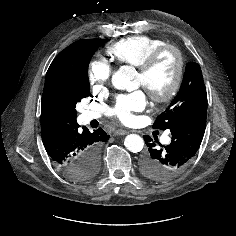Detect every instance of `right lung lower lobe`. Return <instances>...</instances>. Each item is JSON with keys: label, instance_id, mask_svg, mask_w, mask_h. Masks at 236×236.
<instances>
[{"label": "right lung lower lobe", "instance_id": "obj_1", "mask_svg": "<svg viewBox=\"0 0 236 236\" xmlns=\"http://www.w3.org/2000/svg\"><path fill=\"white\" fill-rule=\"evenodd\" d=\"M44 147L51 160L74 181H83L88 162L99 155V148L109 135L99 128L90 132L79 129L76 119L68 124H55L41 128Z\"/></svg>", "mask_w": 236, "mask_h": 236}]
</instances>
